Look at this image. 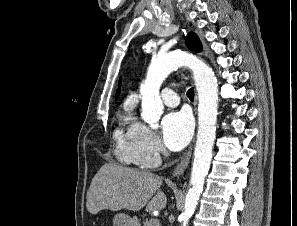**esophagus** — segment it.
<instances>
[{
    "instance_id": "1",
    "label": "esophagus",
    "mask_w": 297,
    "mask_h": 226,
    "mask_svg": "<svg viewBox=\"0 0 297 226\" xmlns=\"http://www.w3.org/2000/svg\"><path fill=\"white\" fill-rule=\"evenodd\" d=\"M191 155H192V147L189 148V150L186 152V154L184 155L180 163L174 169L172 174L173 177H180L184 173V171L186 170L189 164Z\"/></svg>"
}]
</instances>
